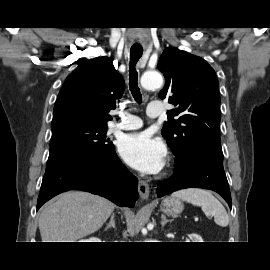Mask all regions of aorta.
Segmentation results:
<instances>
[{
	"label": "aorta",
	"instance_id": "762f6f07",
	"mask_svg": "<svg viewBox=\"0 0 270 270\" xmlns=\"http://www.w3.org/2000/svg\"><path fill=\"white\" fill-rule=\"evenodd\" d=\"M141 85L146 90L159 89L163 85V77L158 72H147L141 78Z\"/></svg>",
	"mask_w": 270,
	"mask_h": 270
}]
</instances>
